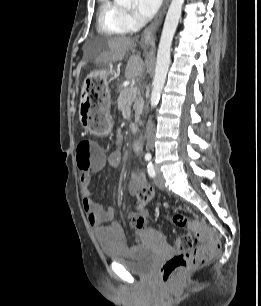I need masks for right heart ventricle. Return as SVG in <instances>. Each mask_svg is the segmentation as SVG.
<instances>
[{"label":"right heart ventricle","instance_id":"e07e8e85","mask_svg":"<svg viewBox=\"0 0 261 306\" xmlns=\"http://www.w3.org/2000/svg\"><path fill=\"white\" fill-rule=\"evenodd\" d=\"M97 27L105 35H124L129 30L123 20V9L113 0H100Z\"/></svg>","mask_w":261,"mask_h":306}]
</instances>
